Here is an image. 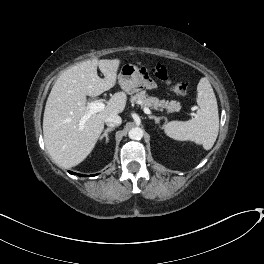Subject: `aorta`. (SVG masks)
I'll list each match as a JSON object with an SVG mask.
<instances>
[{
    "label": "aorta",
    "mask_w": 264,
    "mask_h": 264,
    "mask_svg": "<svg viewBox=\"0 0 264 264\" xmlns=\"http://www.w3.org/2000/svg\"><path fill=\"white\" fill-rule=\"evenodd\" d=\"M143 130L140 127L130 129L128 136L132 140H140L143 137Z\"/></svg>",
    "instance_id": "obj_1"
}]
</instances>
